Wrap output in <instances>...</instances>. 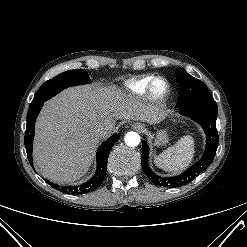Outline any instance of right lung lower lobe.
Returning <instances> with one entry per match:
<instances>
[{
  "instance_id": "right-lung-lower-lobe-1",
  "label": "right lung lower lobe",
  "mask_w": 247,
  "mask_h": 247,
  "mask_svg": "<svg viewBox=\"0 0 247 247\" xmlns=\"http://www.w3.org/2000/svg\"><path fill=\"white\" fill-rule=\"evenodd\" d=\"M43 106L39 104L37 106L29 107V112L27 116V125L25 133V148L28 156V160L31 165H33L32 160V145L34 138V125L36 118ZM120 138L118 134H114L107 141L102 143L97 150L96 160H97V170L95 175L87 182L78 186H58L56 184L50 183L51 186L55 187L57 190L71 193V194H84L97 189L103 182L106 171H107V161L111 148L115 142Z\"/></svg>"
}]
</instances>
